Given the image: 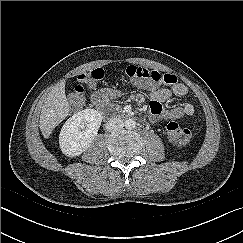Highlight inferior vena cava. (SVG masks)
Wrapping results in <instances>:
<instances>
[{"label":"inferior vena cava","instance_id":"1","mask_svg":"<svg viewBox=\"0 0 243 243\" xmlns=\"http://www.w3.org/2000/svg\"><path fill=\"white\" fill-rule=\"evenodd\" d=\"M124 127V123L120 118L112 117L105 124V128L109 132L120 131Z\"/></svg>","mask_w":243,"mask_h":243}]
</instances>
